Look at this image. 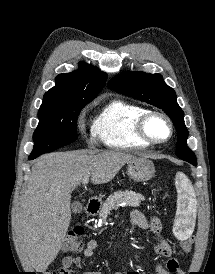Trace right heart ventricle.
Masks as SVG:
<instances>
[{
    "label": "right heart ventricle",
    "mask_w": 215,
    "mask_h": 274,
    "mask_svg": "<svg viewBox=\"0 0 215 274\" xmlns=\"http://www.w3.org/2000/svg\"><path fill=\"white\" fill-rule=\"evenodd\" d=\"M147 111L125 100H112L95 117L91 127L92 136L111 149L146 147L149 144L137 135L136 123Z\"/></svg>",
    "instance_id": "e07e8e85"
}]
</instances>
